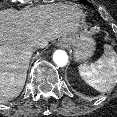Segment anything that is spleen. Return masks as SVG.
Segmentation results:
<instances>
[{
	"label": "spleen",
	"instance_id": "1",
	"mask_svg": "<svg viewBox=\"0 0 117 117\" xmlns=\"http://www.w3.org/2000/svg\"><path fill=\"white\" fill-rule=\"evenodd\" d=\"M82 79L94 89L104 92L117 83V54L109 46L95 63L81 64L78 68Z\"/></svg>",
	"mask_w": 117,
	"mask_h": 117
}]
</instances>
